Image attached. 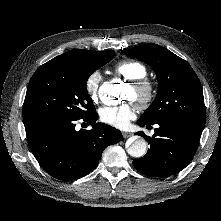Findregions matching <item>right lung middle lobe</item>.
Here are the masks:
<instances>
[{
	"label": "right lung middle lobe",
	"mask_w": 221,
	"mask_h": 221,
	"mask_svg": "<svg viewBox=\"0 0 221 221\" xmlns=\"http://www.w3.org/2000/svg\"><path fill=\"white\" fill-rule=\"evenodd\" d=\"M113 50L98 53L75 65L45 63L33 74L23 105V119L52 117L82 119L96 112L87 79L107 64Z\"/></svg>",
	"instance_id": "obj_1"
}]
</instances>
